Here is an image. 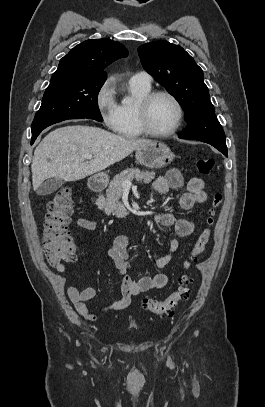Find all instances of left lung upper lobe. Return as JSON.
<instances>
[{"instance_id": "5c2ea615", "label": "left lung upper lobe", "mask_w": 265, "mask_h": 407, "mask_svg": "<svg viewBox=\"0 0 265 407\" xmlns=\"http://www.w3.org/2000/svg\"><path fill=\"white\" fill-rule=\"evenodd\" d=\"M144 69L175 97L184 110L182 139H194L227 152L225 134L209 99L202 69L179 45L155 41L138 48Z\"/></svg>"}]
</instances>
